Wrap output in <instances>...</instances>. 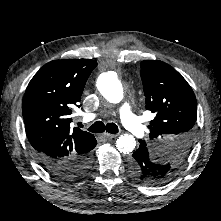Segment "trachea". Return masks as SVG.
Instances as JSON below:
<instances>
[{"instance_id": "obj_1", "label": "trachea", "mask_w": 221, "mask_h": 221, "mask_svg": "<svg viewBox=\"0 0 221 221\" xmlns=\"http://www.w3.org/2000/svg\"><path fill=\"white\" fill-rule=\"evenodd\" d=\"M88 130L90 132H92V133H102V132H104L106 130L108 133H111V134H116L119 131L116 124H114V123H107L105 125L101 121L95 122L93 125H91L88 128Z\"/></svg>"}]
</instances>
